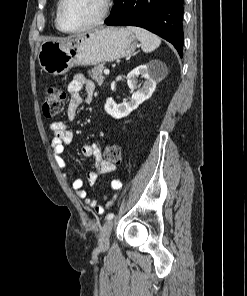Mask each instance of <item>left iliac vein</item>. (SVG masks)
Listing matches in <instances>:
<instances>
[{
  "label": "left iliac vein",
  "instance_id": "1",
  "mask_svg": "<svg viewBox=\"0 0 247 296\" xmlns=\"http://www.w3.org/2000/svg\"><path fill=\"white\" fill-rule=\"evenodd\" d=\"M113 228V221L111 220H107L100 231V235H99V246L102 249H107L109 246V238H110V233L112 231Z\"/></svg>",
  "mask_w": 247,
  "mask_h": 296
}]
</instances>
